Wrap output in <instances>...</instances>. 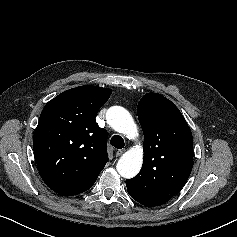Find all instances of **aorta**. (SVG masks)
I'll return each mask as SVG.
<instances>
[{
    "label": "aorta",
    "mask_w": 237,
    "mask_h": 237,
    "mask_svg": "<svg viewBox=\"0 0 237 237\" xmlns=\"http://www.w3.org/2000/svg\"><path fill=\"white\" fill-rule=\"evenodd\" d=\"M108 124L117 132L134 139L138 136V130L130 113L121 106H112L106 113ZM143 162V150L140 146L135 147L119 159L116 169L124 178H133L138 174Z\"/></svg>",
    "instance_id": "obj_1"
}]
</instances>
